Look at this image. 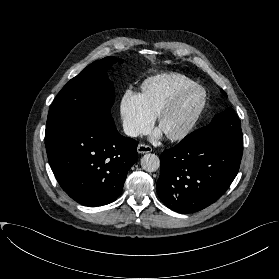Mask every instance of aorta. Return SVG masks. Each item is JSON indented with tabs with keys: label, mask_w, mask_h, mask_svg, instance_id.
<instances>
[{
	"label": "aorta",
	"mask_w": 279,
	"mask_h": 279,
	"mask_svg": "<svg viewBox=\"0 0 279 279\" xmlns=\"http://www.w3.org/2000/svg\"><path fill=\"white\" fill-rule=\"evenodd\" d=\"M141 166L147 172H154L160 167V159L155 154L147 153L141 158Z\"/></svg>",
	"instance_id": "1"
}]
</instances>
